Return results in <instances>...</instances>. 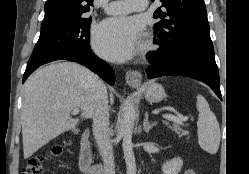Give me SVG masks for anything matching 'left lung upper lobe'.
I'll return each instance as SVG.
<instances>
[{
    "instance_id": "left-lung-upper-lobe-1",
    "label": "left lung upper lobe",
    "mask_w": 249,
    "mask_h": 174,
    "mask_svg": "<svg viewBox=\"0 0 249 174\" xmlns=\"http://www.w3.org/2000/svg\"><path fill=\"white\" fill-rule=\"evenodd\" d=\"M154 2V0H151ZM153 17L161 19L154 25V42L170 57L193 49L213 46L204 0H160Z\"/></svg>"
}]
</instances>
